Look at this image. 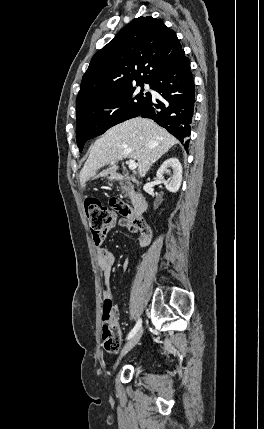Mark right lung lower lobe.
Here are the masks:
<instances>
[{
	"label": "right lung lower lobe",
	"instance_id": "1",
	"mask_svg": "<svg viewBox=\"0 0 264 429\" xmlns=\"http://www.w3.org/2000/svg\"><path fill=\"white\" fill-rule=\"evenodd\" d=\"M163 97L150 98L137 115L153 119L188 149L195 103V89L189 59L182 51L150 83ZM136 116V117H137Z\"/></svg>",
	"mask_w": 264,
	"mask_h": 429
}]
</instances>
